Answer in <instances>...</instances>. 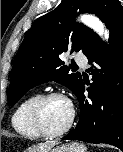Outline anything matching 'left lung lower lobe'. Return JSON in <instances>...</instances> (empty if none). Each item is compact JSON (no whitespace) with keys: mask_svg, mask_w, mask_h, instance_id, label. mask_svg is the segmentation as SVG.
<instances>
[{"mask_svg":"<svg viewBox=\"0 0 123 152\" xmlns=\"http://www.w3.org/2000/svg\"><path fill=\"white\" fill-rule=\"evenodd\" d=\"M110 31L109 45L98 38L87 54L93 83L84 96L81 83L76 96L80 119L75 129L62 139L107 143L123 151V8L118 6L105 21Z\"/></svg>","mask_w":123,"mask_h":152,"instance_id":"left-lung-lower-lobe-1","label":"left lung lower lobe"}]
</instances>
